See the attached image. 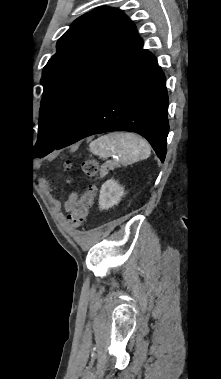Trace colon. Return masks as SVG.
Returning <instances> with one entry per match:
<instances>
[{
	"label": "colon",
	"mask_w": 221,
	"mask_h": 379,
	"mask_svg": "<svg viewBox=\"0 0 221 379\" xmlns=\"http://www.w3.org/2000/svg\"><path fill=\"white\" fill-rule=\"evenodd\" d=\"M71 167L70 161L67 160L63 164V168L69 171ZM81 169L85 175L92 179H99L102 177L103 172L98 163L93 159L84 160L81 164ZM96 195V186L94 184L88 185L81 198L77 201L74 208L68 215V222L75 228H82L85 225L89 210L93 205Z\"/></svg>",
	"instance_id": "5ec220e1"
}]
</instances>
